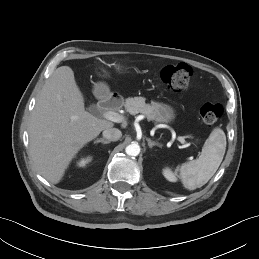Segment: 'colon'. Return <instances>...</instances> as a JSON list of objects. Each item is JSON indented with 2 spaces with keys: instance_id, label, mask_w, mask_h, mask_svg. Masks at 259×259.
<instances>
[{
  "instance_id": "1",
  "label": "colon",
  "mask_w": 259,
  "mask_h": 259,
  "mask_svg": "<svg viewBox=\"0 0 259 259\" xmlns=\"http://www.w3.org/2000/svg\"><path fill=\"white\" fill-rule=\"evenodd\" d=\"M161 80L173 92L184 91L192 78V70L188 65L166 66L161 70ZM223 114V107L218 103L206 102L200 107L203 123L213 126Z\"/></svg>"
}]
</instances>
